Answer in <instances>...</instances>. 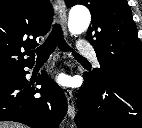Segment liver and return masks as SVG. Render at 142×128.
I'll return each mask as SVG.
<instances>
[{
    "label": "liver",
    "instance_id": "obj_1",
    "mask_svg": "<svg viewBox=\"0 0 142 128\" xmlns=\"http://www.w3.org/2000/svg\"><path fill=\"white\" fill-rule=\"evenodd\" d=\"M0 128H26L18 123L0 122Z\"/></svg>",
    "mask_w": 142,
    "mask_h": 128
}]
</instances>
